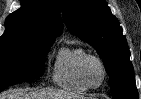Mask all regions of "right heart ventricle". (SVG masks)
<instances>
[{
  "instance_id": "1",
  "label": "right heart ventricle",
  "mask_w": 141,
  "mask_h": 99,
  "mask_svg": "<svg viewBox=\"0 0 141 99\" xmlns=\"http://www.w3.org/2000/svg\"><path fill=\"white\" fill-rule=\"evenodd\" d=\"M87 54L83 47H63L59 50L52 70V80L59 87L83 93L89 90L80 77V64Z\"/></svg>"
}]
</instances>
